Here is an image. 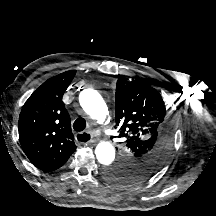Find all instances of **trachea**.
Returning <instances> with one entry per match:
<instances>
[{
  "label": "trachea",
  "mask_w": 216,
  "mask_h": 216,
  "mask_svg": "<svg viewBox=\"0 0 216 216\" xmlns=\"http://www.w3.org/2000/svg\"><path fill=\"white\" fill-rule=\"evenodd\" d=\"M73 128L75 131L77 132H81L86 128V121L84 118H78L75 120V122L73 123ZM90 139V137H85V134L81 135L80 137H78V140L81 142H86Z\"/></svg>",
  "instance_id": "trachea-1"
}]
</instances>
